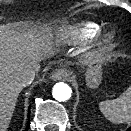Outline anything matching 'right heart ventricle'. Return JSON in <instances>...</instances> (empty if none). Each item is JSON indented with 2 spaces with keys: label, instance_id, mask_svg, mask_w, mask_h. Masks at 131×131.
I'll use <instances>...</instances> for the list:
<instances>
[{
  "label": "right heart ventricle",
  "instance_id": "right-heart-ventricle-1",
  "mask_svg": "<svg viewBox=\"0 0 131 131\" xmlns=\"http://www.w3.org/2000/svg\"><path fill=\"white\" fill-rule=\"evenodd\" d=\"M101 31V26L95 22H85L66 27L62 33V38L69 43H78L96 37Z\"/></svg>",
  "mask_w": 131,
  "mask_h": 131
}]
</instances>
